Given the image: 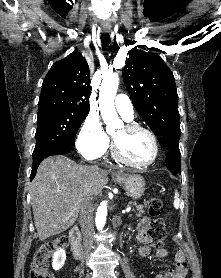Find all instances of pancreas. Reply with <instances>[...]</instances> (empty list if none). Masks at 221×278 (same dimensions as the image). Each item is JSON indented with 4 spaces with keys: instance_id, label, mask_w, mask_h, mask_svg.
I'll return each instance as SVG.
<instances>
[{
    "instance_id": "obj_1",
    "label": "pancreas",
    "mask_w": 221,
    "mask_h": 278,
    "mask_svg": "<svg viewBox=\"0 0 221 278\" xmlns=\"http://www.w3.org/2000/svg\"><path fill=\"white\" fill-rule=\"evenodd\" d=\"M147 205L148 203H144V205H138L137 206L138 212L136 213V215L140 217L144 213V208L147 207Z\"/></svg>"
}]
</instances>
